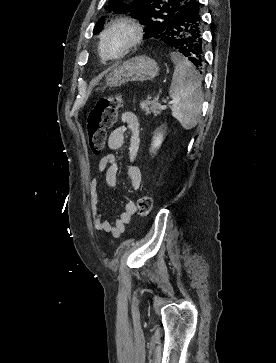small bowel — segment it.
Returning a JSON list of instances; mask_svg holds the SVG:
<instances>
[{"label":"small bowel","instance_id":"1","mask_svg":"<svg viewBox=\"0 0 276 363\" xmlns=\"http://www.w3.org/2000/svg\"><path fill=\"white\" fill-rule=\"evenodd\" d=\"M121 125L115 128L108 136V147L111 150L122 148L125 140V131H131L129 158L126 164L127 173L132 187L137 190L142 185V176L139 167L135 163V158L140 147V123L138 117L130 111H125L120 117ZM99 171L104 174L105 183L109 187H116L118 182L119 168L115 155L108 154L99 162ZM99 178H94L90 183V208L94 227L102 232L109 233L114 237H119L136 213V204L128 200L122 212L112 224L103 218L98 197Z\"/></svg>","mask_w":276,"mask_h":363}]
</instances>
